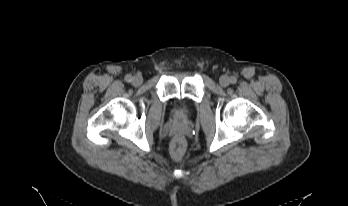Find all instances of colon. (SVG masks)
<instances>
[{"instance_id": "colon-1", "label": "colon", "mask_w": 348, "mask_h": 206, "mask_svg": "<svg viewBox=\"0 0 348 206\" xmlns=\"http://www.w3.org/2000/svg\"><path fill=\"white\" fill-rule=\"evenodd\" d=\"M184 151V145L181 139H177L171 148L172 155L175 159H178L181 157L182 153Z\"/></svg>"}]
</instances>
